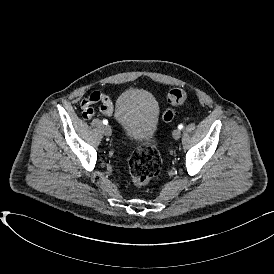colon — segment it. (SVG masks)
<instances>
[{"label": "colon", "mask_w": 274, "mask_h": 274, "mask_svg": "<svg viewBox=\"0 0 274 274\" xmlns=\"http://www.w3.org/2000/svg\"><path fill=\"white\" fill-rule=\"evenodd\" d=\"M189 100V95L182 89L175 88L169 91L167 108L162 119L170 122L175 116L174 107H177ZM162 167V159L159 151L153 147L152 142L144 143L136 149L129 162V173L131 181L136 186H143L156 175Z\"/></svg>", "instance_id": "5ec220e1"}]
</instances>
